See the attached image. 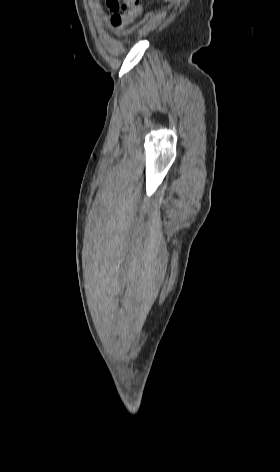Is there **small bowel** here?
Returning a JSON list of instances; mask_svg holds the SVG:
<instances>
[{
	"label": "small bowel",
	"mask_w": 280,
	"mask_h": 472,
	"mask_svg": "<svg viewBox=\"0 0 280 472\" xmlns=\"http://www.w3.org/2000/svg\"><path fill=\"white\" fill-rule=\"evenodd\" d=\"M112 25H113L114 28H116V29H118V30H123V27H122V26L114 25L113 23H112Z\"/></svg>",
	"instance_id": "small-bowel-1"
}]
</instances>
